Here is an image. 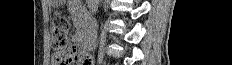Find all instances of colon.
Listing matches in <instances>:
<instances>
[{
    "instance_id": "1",
    "label": "colon",
    "mask_w": 232,
    "mask_h": 65,
    "mask_svg": "<svg viewBox=\"0 0 232 65\" xmlns=\"http://www.w3.org/2000/svg\"><path fill=\"white\" fill-rule=\"evenodd\" d=\"M69 22L64 17L54 19L51 30V43L54 51V61L58 65H71L83 60L85 65L89 59H82L75 46L68 40Z\"/></svg>"
}]
</instances>
